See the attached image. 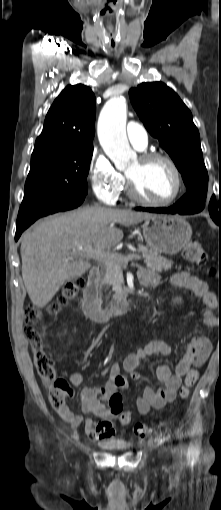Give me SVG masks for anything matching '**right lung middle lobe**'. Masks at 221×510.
<instances>
[{"mask_svg":"<svg viewBox=\"0 0 221 510\" xmlns=\"http://www.w3.org/2000/svg\"><path fill=\"white\" fill-rule=\"evenodd\" d=\"M93 146L31 157L22 209L38 214L88 193L87 175Z\"/></svg>","mask_w":221,"mask_h":510,"instance_id":"obj_1","label":"right lung middle lobe"}]
</instances>
